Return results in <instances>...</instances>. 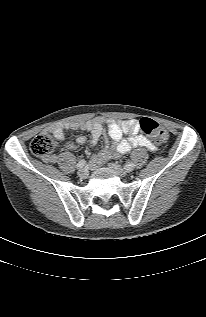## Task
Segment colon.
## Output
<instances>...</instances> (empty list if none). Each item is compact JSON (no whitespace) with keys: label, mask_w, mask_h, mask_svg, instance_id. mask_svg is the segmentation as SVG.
<instances>
[{"label":"colon","mask_w":206,"mask_h":317,"mask_svg":"<svg viewBox=\"0 0 206 317\" xmlns=\"http://www.w3.org/2000/svg\"><path fill=\"white\" fill-rule=\"evenodd\" d=\"M140 128L157 143H165L168 139V132L166 129L151 118H142L140 120ZM55 147L56 144L54 139L47 133L37 135L30 143V151L41 158L50 157L53 154Z\"/></svg>","instance_id":"obj_1"}]
</instances>
